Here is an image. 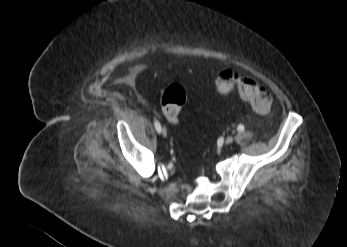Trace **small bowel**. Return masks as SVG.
Instances as JSON below:
<instances>
[{
    "instance_id": "c3829d8e",
    "label": "small bowel",
    "mask_w": 347,
    "mask_h": 247,
    "mask_svg": "<svg viewBox=\"0 0 347 247\" xmlns=\"http://www.w3.org/2000/svg\"><path fill=\"white\" fill-rule=\"evenodd\" d=\"M135 75H136V70L133 68V69H131L129 75L126 78V80L129 84H132V82L134 81Z\"/></svg>"
}]
</instances>
